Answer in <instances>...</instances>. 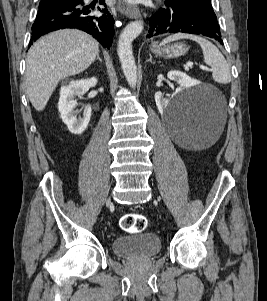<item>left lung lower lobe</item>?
<instances>
[{
  "instance_id": "0a47b994",
  "label": "left lung lower lobe",
  "mask_w": 267,
  "mask_h": 301,
  "mask_svg": "<svg viewBox=\"0 0 267 301\" xmlns=\"http://www.w3.org/2000/svg\"><path fill=\"white\" fill-rule=\"evenodd\" d=\"M149 24L148 38L183 32L208 36L223 44L217 21H212L184 5L163 3V7L150 18Z\"/></svg>"
}]
</instances>
